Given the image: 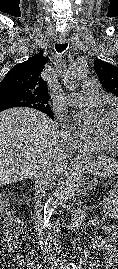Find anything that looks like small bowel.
<instances>
[{
    "instance_id": "obj_1",
    "label": "small bowel",
    "mask_w": 118,
    "mask_h": 269,
    "mask_svg": "<svg viewBox=\"0 0 118 269\" xmlns=\"http://www.w3.org/2000/svg\"><path fill=\"white\" fill-rule=\"evenodd\" d=\"M111 202L112 214L116 216L118 214V192L116 195L112 196ZM112 241L118 242V231L113 233ZM91 246L96 250L103 251L106 254L108 260L118 265V251L109 242L99 236H95L91 240Z\"/></svg>"
}]
</instances>
